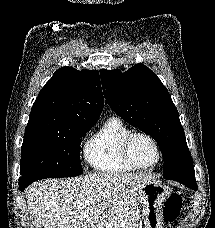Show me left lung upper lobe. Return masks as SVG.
Segmentation results:
<instances>
[{"instance_id":"left-lung-upper-lobe-1","label":"left lung upper lobe","mask_w":215,"mask_h":228,"mask_svg":"<svg viewBox=\"0 0 215 228\" xmlns=\"http://www.w3.org/2000/svg\"><path fill=\"white\" fill-rule=\"evenodd\" d=\"M104 96L122 119L152 136L162 152L163 177L194 173L178 111L165 86L148 67L125 73L100 70Z\"/></svg>"}]
</instances>
